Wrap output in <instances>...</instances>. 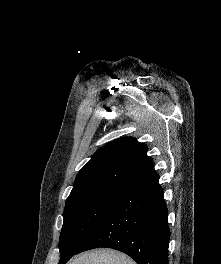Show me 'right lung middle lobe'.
<instances>
[{"label": "right lung middle lobe", "mask_w": 221, "mask_h": 264, "mask_svg": "<svg viewBox=\"0 0 221 264\" xmlns=\"http://www.w3.org/2000/svg\"><path fill=\"white\" fill-rule=\"evenodd\" d=\"M126 187L99 186L70 195L60 234V262L73 255L99 225Z\"/></svg>", "instance_id": "dd1d6c3e"}]
</instances>
